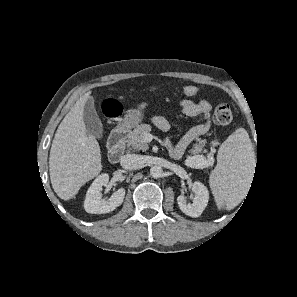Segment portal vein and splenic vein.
<instances>
[{
  "label": "portal vein and splenic vein",
  "mask_w": 297,
  "mask_h": 297,
  "mask_svg": "<svg viewBox=\"0 0 297 297\" xmlns=\"http://www.w3.org/2000/svg\"><path fill=\"white\" fill-rule=\"evenodd\" d=\"M144 138H145L146 142H150L152 140L153 136L150 133H146L144 135Z\"/></svg>",
  "instance_id": "obj_1"
}]
</instances>
